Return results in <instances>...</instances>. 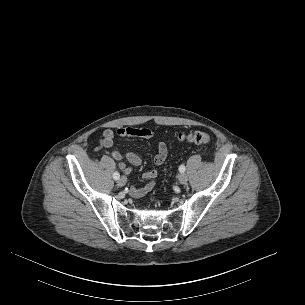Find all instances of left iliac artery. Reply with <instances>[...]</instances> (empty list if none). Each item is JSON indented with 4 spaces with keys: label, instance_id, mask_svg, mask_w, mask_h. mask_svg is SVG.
<instances>
[{
    "label": "left iliac artery",
    "instance_id": "1",
    "mask_svg": "<svg viewBox=\"0 0 305 305\" xmlns=\"http://www.w3.org/2000/svg\"><path fill=\"white\" fill-rule=\"evenodd\" d=\"M179 171L184 172L185 171V166L182 164L179 166Z\"/></svg>",
    "mask_w": 305,
    "mask_h": 305
}]
</instances>
